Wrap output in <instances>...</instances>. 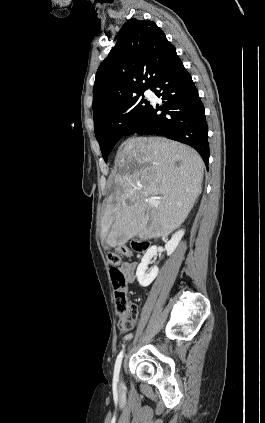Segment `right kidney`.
Here are the masks:
<instances>
[{"label": "right kidney", "instance_id": "obj_1", "mask_svg": "<svg viewBox=\"0 0 265 423\" xmlns=\"http://www.w3.org/2000/svg\"><path fill=\"white\" fill-rule=\"evenodd\" d=\"M185 231L183 229L176 231L171 239L166 243L165 249L167 255L170 256L179 245ZM157 255V246L150 247L144 254L141 263L137 267L136 276L139 284L142 287L149 286L158 274V267L154 266L147 273L148 265L151 263L153 257Z\"/></svg>", "mask_w": 265, "mask_h": 423}]
</instances>
